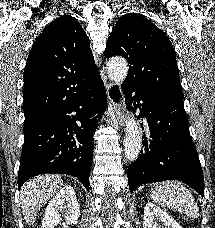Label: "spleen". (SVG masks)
I'll return each mask as SVG.
<instances>
[{
    "instance_id": "3e777b00",
    "label": "spleen",
    "mask_w": 215,
    "mask_h": 228,
    "mask_svg": "<svg viewBox=\"0 0 215 228\" xmlns=\"http://www.w3.org/2000/svg\"><path fill=\"white\" fill-rule=\"evenodd\" d=\"M151 198L162 208H172L186 214L188 218H199L198 206L185 184L181 182H161L151 188Z\"/></svg>"
}]
</instances>
